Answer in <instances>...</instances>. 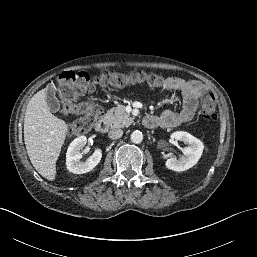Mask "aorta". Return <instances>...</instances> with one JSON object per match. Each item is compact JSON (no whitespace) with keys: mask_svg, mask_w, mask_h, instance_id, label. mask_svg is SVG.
<instances>
[{"mask_svg":"<svg viewBox=\"0 0 257 257\" xmlns=\"http://www.w3.org/2000/svg\"><path fill=\"white\" fill-rule=\"evenodd\" d=\"M130 139L133 143L139 144L143 141V134L141 131H138V130L133 131L131 133Z\"/></svg>","mask_w":257,"mask_h":257,"instance_id":"aorta-1","label":"aorta"}]
</instances>
